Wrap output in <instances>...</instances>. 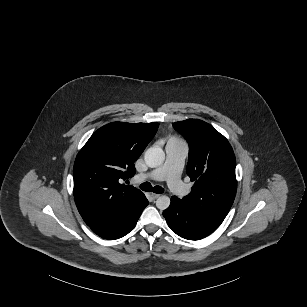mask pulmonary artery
Listing matches in <instances>:
<instances>
[{"instance_id": "e3ab8cb5", "label": "pulmonary artery", "mask_w": 307, "mask_h": 307, "mask_svg": "<svg viewBox=\"0 0 307 307\" xmlns=\"http://www.w3.org/2000/svg\"><path fill=\"white\" fill-rule=\"evenodd\" d=\"M184 156L182 155V147L178 143H171L166 147V161L162 167L149 171L145 174L137 175V181L152 180L155 182H166L169 191L175 194H183L188 189V184L181 179L182 163Z\"/></svg>"}]
</instances>
